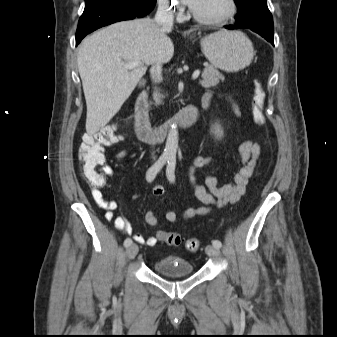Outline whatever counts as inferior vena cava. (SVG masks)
<instances>
[{"instance_id": "inferior-vena-cava-1", "label": "inferior vena cava", "mask_w": 337, "mask_h": 337, "mask_svg": "<svg viewBox=\"0 0 337 337\" xmlns=\"http://www.w3.org/2000/svg\"><path fill=\"white\" fill-rule=\"evenodd\" d=\"M174 14L173 11L169 9V4L167 0H162L157 9L155 15V22L164 28L171 29L173 26ZM161 63H156L151 67L150 74L153 82L159 83L162 79L161 77Z\"/></svg>"}]
</instances>
